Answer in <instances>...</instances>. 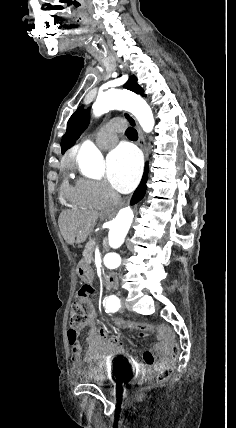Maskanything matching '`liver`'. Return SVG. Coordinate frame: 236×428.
<instances>
[{
  "mask_svg": "<svg viewBox=\"0 0 236 428\" xmlns=\"http://www.w3.org/2000/svg\"><path fill=\"white\" fill-rule=\"evenodd\" d=\"M96 212H62L58 226L67 244H82L97 224Z\"/></svg>",
  "mask_w": 236,
  "mask_h": 428,
  "instance_id": "1",
  "label": "liver"
}]
</instances>
